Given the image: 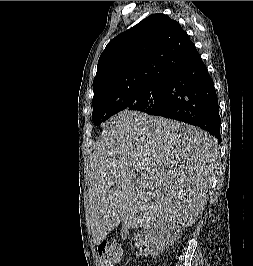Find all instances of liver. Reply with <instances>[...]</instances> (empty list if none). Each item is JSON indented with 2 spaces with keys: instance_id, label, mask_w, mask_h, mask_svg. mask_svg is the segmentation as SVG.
<instances>
[{
  "instance_id": "6515ba94",
  "label": "liver",
  "mask_w": 253,
  "mask_h": 266,
  "mask_svg": "<svg viewBox=\"0 0 253 266\" xmlns=\"http://www.w3.org/2000/svg\"><path fill=\"white\" fill-rule=\"evenodd\" d=\"M218 156L216 139L198 127L135 111L113 116L89 163L94 244L120 223L191 226L207 203Z\"/></svg>"
}]
</instances>
